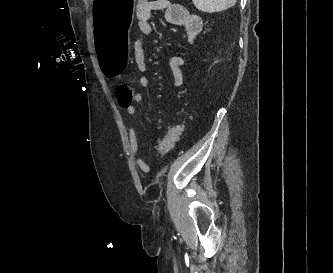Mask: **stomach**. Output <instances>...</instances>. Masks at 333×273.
<instances>
[{
    "mask_svg": "<svg viewBox=\"0 0 333 273\" xmlns=\"http://www.w3.org/2000/svg\"><path fill=\"white\" fill-rule=\"evenodd\" d=\"M134 0H94V32L95 38H128L133 32L135 12ZM128 39H95L94 55L100 65L99 74L125 75L127 65L131 64L128 53Z\"/></svg>",
    "mask_w": 333,
    "mask_h": 273,
    "instance_id": "obj_1",
    "label": "stomach"
}]
</instances>
